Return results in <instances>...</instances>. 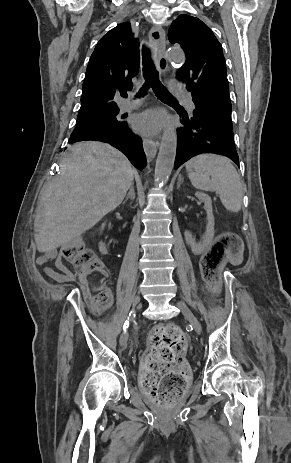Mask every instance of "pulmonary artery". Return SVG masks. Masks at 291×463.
<instances>
[{
  "instance_id": "obj_1",
  "label": "pulmonary artery",
  "mask_w": 291,
  "mask_h": 463,
  "mask_svg": "<svg viewBox=\"0 0 291 463\" xmlns=\"http://www.w3.org/2000/svg\"><path fill=\"white\" fill-rule=\"evenodd\" d=\"M170 92L173 96L184 100L185 103L187 104L188 110L190 112H193V110L195 109V105H194V102L192 101V98L186 91L182 90L178 84L171 83ZM142 102H143L142 98L124 100L120 104V109L121 111H130V110H133L139 107L142 104Z\"/></svg>"
}]
</instances>
